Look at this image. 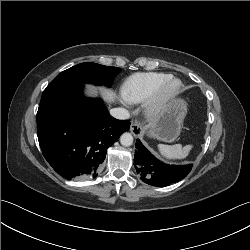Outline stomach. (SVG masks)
<instances>
[{
	"instance_id": "obj_1",
	"label": "stomach",
	"mask_w": 250,
	"mask_h": 250,
	"mask_svg": "<svg viewBox=\"0 0 250 250\" xmlns=\"http://www.w3.org/2000/svg\"><path fill=\"white\" fill-rule=\"evenodd\" d=\"M186 112V102L173 99L163 107L155 121L145 127L144 133L164 142H173L180 134Z\"/></svg>"
}]
</instances>
